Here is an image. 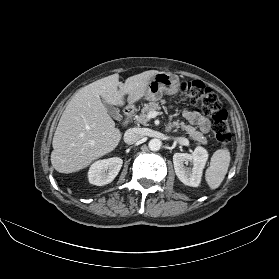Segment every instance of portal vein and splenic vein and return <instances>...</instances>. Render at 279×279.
Wrapping results in <instances>:
<instances>
[{
  "instance_id": "portal-vein-and-splenic-vein-1",
  "label": "portal vein and splenic vein",
  "mask_w": 279,
  "mask_h": 279,
  "mask_svg": "<svg viewBox=\"0 0 279 279\" xmlns=\"http://www.w3.org/2000/svg\"><path fill=\"white\" fill-rule=\"evenodd\" d=\"M157 115H158V112H156V111H151V112H149L148 115H147V120H150V119H152V118H155Z\"/></svg>"
}]
</instances>
